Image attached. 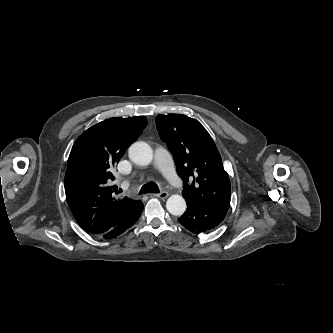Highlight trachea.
<instances>
[{
	"instance_id": "obj_1",
	"label": "trachea",
	"mask_w": 333,
	"mask_h": 333,
	"mask_svg": "<svg viewBox=\"0 0 333 333\" xmlns=\"http://www.w3.org/2000/svg\"><path fill=\"white\" fill-rule=\"evenodd\" d=\"M159 187L155 182H149L143 185L139 191V194H146V193H159Z\"/></svg>"
}]
</instances>
